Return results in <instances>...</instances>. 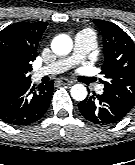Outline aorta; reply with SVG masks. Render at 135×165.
<instances>
[{
	"label": "aorta",
	"instance_id": "aorta-1",
	"mask_svg": "<svg viewBox=\"0 0 135 165\" xmlns=\"http://www.w3.org/2000/svg\"><path fill=\"white\" fill-rule=\"evenodd\" d=\"M51 48L57 55H67L72 50V40L65 35L58 36L54 39ZM70 93L73 99L82 101L87 96V89L82 84H75L71 87Z\"/></svg>",
	"mask_w": 135,
	"mask_h": 165
}]
</instances>
